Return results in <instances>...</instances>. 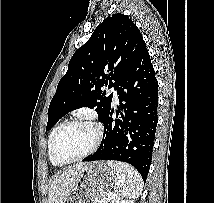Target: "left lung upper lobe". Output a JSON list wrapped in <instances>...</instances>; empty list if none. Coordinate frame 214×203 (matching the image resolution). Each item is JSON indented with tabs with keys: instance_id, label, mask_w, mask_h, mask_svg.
Wrapping results in <instances>:
<instances>
[{
	"instance_id": "5c2ea615",
	"label": "left lung upper lobe",
	"mask_w": 214,
	"mask_h": 203,
	"mask_svg": "<svg viewBox=\"0 0 214 203\" xmlns=\"http://www.w3.org/2000/svg\"><path fill=\"white\" fill-rule=\"evenodd\" d=\"M145 49L140 30L128 16L120 13L108 16L69 61L67 73L51 100L46 130L68 112L81 107L96 108L102 120L111 108L112 94L106 96L101 88L117 90Z\"/></svg>"
}]
</instances>
